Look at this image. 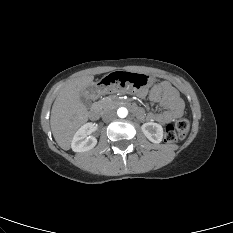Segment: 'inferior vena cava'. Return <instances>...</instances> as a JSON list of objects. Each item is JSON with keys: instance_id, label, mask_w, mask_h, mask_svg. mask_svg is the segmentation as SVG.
Returning <instances> with one entry per match:
<instances>
[{"instance_id": "1", "label": "inferior vena cava", "mask_w": 233, "mask_h": 233, "mask_svg": "<svg viewBox=\"0 0 233 233\" xmlns=\"http://www.w3.org/2000/svg\"><path fill=\"white\" fill-rule=\"evenodd\" d=\"M116 117V113L115 111L113 110H107L103 113L102 115V119L105 121V122H108V121H111L113 120L114 118Z\"/></svg>"}]
</instances>
